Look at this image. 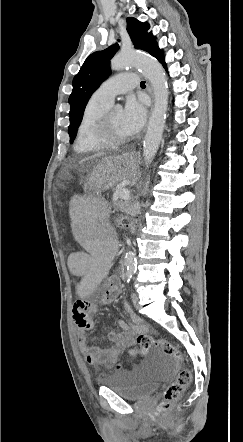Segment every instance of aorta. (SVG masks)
<instances>
[{"mask_svg": "<svg viewBox=\"0 0 243 442\" xmlns=\"http://www.w3.org/2000/svg\"><path fill=\"white\" fill-rule=\"evenodd\" d=\"M111 68L112 70L137 68L151 82L155 103L143 142V157L148 166L157 153L165 126L169 95L165 71L153 57L133 51L122 52L115 57L111 61ZM125 261L128 272H133L135 269L134 254L127 252Z\"/></svg>", "mask_w": 243, "mask_h": 442, "instance_id": "762f6f07", "label": "aorta"}]
</instances>
